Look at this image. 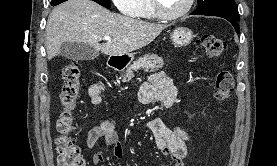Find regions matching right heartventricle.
<instances>
[{
  "mask_svg": "<svg viewBox=\"0 0 277 166\" xmlns=\"http://www.w3.org/2000/svg\"><path fill=\"white\" fill-rule=\"evenodd\" d=\"M134 17L146 21L156 20L157 16L153 10L151 0H141L140 6L134 14Z\"/></svg>",
  "mask_w": 277,
  "mask_h": 166,
  "instance_id": "obj_1",
  "label": "right heart ventricle"
}]
</instances>
